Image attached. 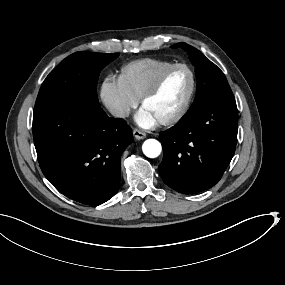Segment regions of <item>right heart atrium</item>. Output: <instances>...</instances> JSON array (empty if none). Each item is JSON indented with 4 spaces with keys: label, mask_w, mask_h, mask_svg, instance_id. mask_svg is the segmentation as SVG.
<instances>
[{
    "label": "right heart atrium",
    "mask_w": 285,
    "mask_h": 285,
    "mask_svg": "<svg viewBox=\"0 0 285 285\" xmlns=\"http://www.w3.org/2000/svg\"><path fill=\"white\" fill-rule=\"evenodd\" d=\"M100 94L106 109L119 120L126 119L138 104V98L120 84L113 72H108L103 76Z\"/></svg>",
    "instance_id": "1"
}]
</instances>
